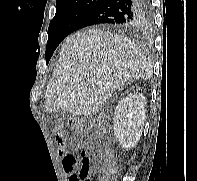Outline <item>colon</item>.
<instances>
[{"instance_id":"1","label":"colon","mask_w":197,"mask_h":181,"mask_svg":"<svg viewBox=\"0 0 197 181\" xmlns=\"http://www.w3.org/2000/svg\"><path fill=\"white\" fill-rule=\"evenodd\" d=\"M86 136H97V128L94 124L80 125ZM57 140H63L64 136L61 131L56 133ZM82 168L78 176V181H112L116 172L112 156L105 153L90 154L84 151L81 154Z\"/></svg>"}]
</instances>
